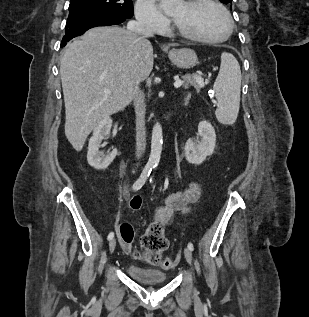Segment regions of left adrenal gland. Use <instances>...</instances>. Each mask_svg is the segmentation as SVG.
<instances>
[{
    "instance_id": "a2214340",
    "label": "left adrenal gland",
    "mask_w": 309,
    "mask_h": 317,
    "mask_svg": "<svg viewBox=\"0 0 309 317\" xmlns=\"http://www.w3.org/2000/svg\"><path fill=\"white\" fill-rule=\"evenodd\" d=\"M190 98V93L187 95V97L185 98V101H188Z\"/></svg>"
}]
</instances>
